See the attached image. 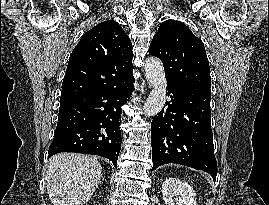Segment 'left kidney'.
<instances>
[{
    "label": "left kidney",
    "mask_w": 269,
    "mask_h": 205,
    "mask_svg": "<svg viewBox=\"0 0 269 205\" xmlns=\"http://www.w3.org/2000/svg\"><path fill=\"white\" fill-rule=\"evenodd\" d=\"M162 197L165 205H197L193 188L177 178H169L163 182Z\"/></svg>",
    "instance_id": "1"
}]
</instances>
